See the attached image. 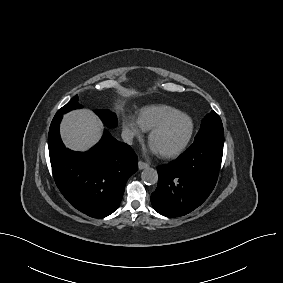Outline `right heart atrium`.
Here are the masks:
<instances>
[{"mask_svg": "<svg viewBox=\"0 0 283 283\" xmlns=\"http://www.w3.org/2000/svg\"><path fill=\"white\" fill-rule=\"evenodd\" d=\"M123 132L127 141L132 142L135 139L142 138L145 130L136 117L127 115L123 119Z\"/></svg>", "mask_w": 283, "mask_h": 283, "instance_id": "1", "label": "right heart atrium"}]
</instances>
